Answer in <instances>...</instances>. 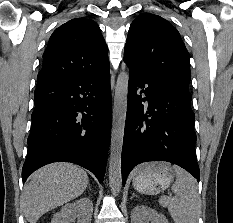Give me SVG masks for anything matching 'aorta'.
Masks as SVG:
<instances>
[{
	"mask_svg": "<svg viewBox=\"0 0 233 223\" xmlns=\"http://www.w3.org/2000/svg\"><path fill=\"white\" fill-rule=\"evenodd\" d=\"M129 76L127 72L117 78L111 131L109 159V185L113 195H118L122 187L121 155L127 112Z\"/></svg>",
	"mask_w": 233,
	"mask_h": 223,
	"instance_id": "aorta-1",
	"label": "aorta"
}]
</instances>
